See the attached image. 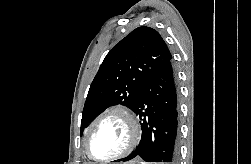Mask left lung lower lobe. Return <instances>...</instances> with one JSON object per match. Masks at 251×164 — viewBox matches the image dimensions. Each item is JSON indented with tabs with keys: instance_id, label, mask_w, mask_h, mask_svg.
<instances>
[{
	"instance_id": "0a47b994",
	"label": "left lung lower lobe",
	"mask_w": 251,
	"mask_h": 164,
	"mask_svg": "<svg viewBox=\"0 0 251 164\" xmlns=\"http://www.w3.org/2000/svg\"><path fill=\"white\" fill-rule=\"evenodd\" d=\"M142 126L141 141L129 157L176 163L178 158V89L171 60L144 86L133 110Z\"/></svg>"
}]
</instances>
